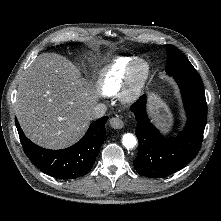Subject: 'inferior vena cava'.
<instances>
[{
  "mask_svg": "<svg viewBox=\"0 0 221 221\" xmlns=\"http://www.w3.org/2000/svg\"><path fill=\"white\" fill-rule=\"evenodd\" d=\"M107 111V107L105 104H98L94 107L93 111H92V117L93 118H101L104 116V114Z\"/></svg>",
  "mask_w": 221,
  "mask_h": 221,
  "instance_id": "obj_1",
  "label": "inferior vena cava"
}]
</instances>
